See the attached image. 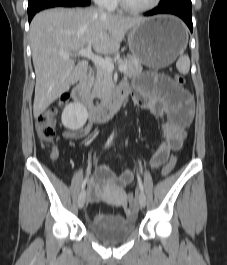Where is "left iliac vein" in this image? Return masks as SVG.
<instances>
[{
	"label": "left iliac vein",
	"mask_w": 227,
	"mask_h": 265,
	"mask_svg": "<svg viewBox=\"0 0 227 265\" xmlns=\"http://www.w3.org/2000/svg\"><path fill=\"white\" fill-rule=\"evenodd\" d=\"M139 204L142 208H144L146 206V196L145 194L141 191L140 194H139Z\"/></svg>",
	"instance_id": "obj_1"
}]
</instances>
